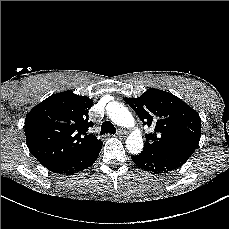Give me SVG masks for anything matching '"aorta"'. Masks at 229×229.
I'll list each match as a JSON object with an SVG mask.
<instances>
[{
  "mask_svg": "<svg viewBox=\"0 0 229 229\" xmlns=\"http://www.w3.org/2000/svg\"><path fill=\"white\" fill-rule=\"evenodd\" d=\"M109 118L118 126L133 127L135 125L131 112L118 102H110L107 105ZM143 139L140 131L135 130L126 140V148L131 154H138L143 149Z\"/></svg>",
  "mask_w": 229,
  "mask_h": 229,
  "instance_id": "1",
  "label": "aorta"
}]
</instances>
